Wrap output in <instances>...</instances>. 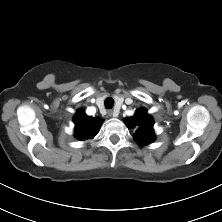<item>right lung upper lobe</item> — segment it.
<instances>
[{"label":"right lung upper lobe","mask_w":222,"mask_h":222,"mask_svg":"<svg viewBox=\"0 0 222 222\" xmlns=\"http://www.w3.org/2000/svg\"><path fill=\"white\" fill-rule=\"evenodd\" d=\"M103 120L99 117L93 118L87 116L83 109L77 111L74 116L75 137L83 141L85 139H92L98 133Z\"/></svg>","instance_id":"cb5924a9"}]
</instances>
